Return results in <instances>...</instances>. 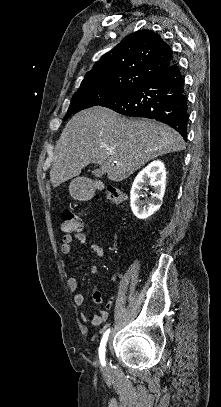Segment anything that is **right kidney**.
Masks as SVG:
<instances>
[{
    "label": "right kidney",
    "instance_id": "right-kidney-1",
    "mask_svg": "<svg viewBox=\"0 0 221 407\" xmlns=\"http://www.w3.org/2000/svg\"><path fill=\"white\" fill-rule=\"evenodd\" d=\"M148 182L153 186L154 193H151V198L145 204L140 201V197L143 185ZM165 182L166 170L160 160L151 162L138 173L130 192L131 209L137 218L146 219L160 208L165 193Z\"/></svg>",
    "mask_w": 221,
    "mask_h": 407
}]
</instances>
